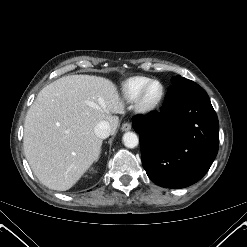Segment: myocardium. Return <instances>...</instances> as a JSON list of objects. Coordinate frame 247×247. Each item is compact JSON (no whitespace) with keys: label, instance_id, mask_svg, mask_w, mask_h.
<instances>
[{"label":"myocardium","instance_id":"myocardium-1","mask_svg":"<svg viewBox=\"0 0 247 247\" xmlns=\"http://www.w3.org/2000/svg\"><path fill=\"white\" fill-rule=\"evenodd\" d=\"M154 84H158L160 86V93L155 100L148 102L146 100V94L149 88ZM164 94H165V89H164L163 84L160 81L158 80L149 81L146 85L143 86V88L140 90V92L138 93L135 99L134 107H135L136 112L141 113V114H146V113H150L154 111L160 105L161 101L163 100Z\"/></svg>","mask_w":247,"mask_h":247}]
</instances>
